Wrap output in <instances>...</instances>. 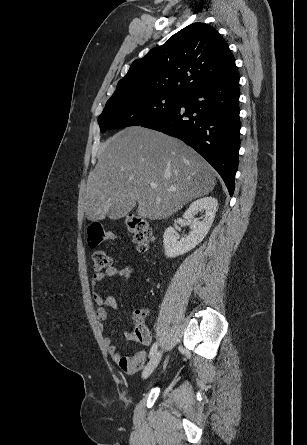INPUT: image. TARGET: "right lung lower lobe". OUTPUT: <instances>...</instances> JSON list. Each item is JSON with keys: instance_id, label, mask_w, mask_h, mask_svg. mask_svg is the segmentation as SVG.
Returning a JSON list of instances; mask_svg holds the SVG:
<instances>
[{"instance_id": "98d812e1", "label": "right lung lower lobe", "mask_w": 307, "mask_h": 445, "mask_svg": "<svg viewBox=\"0 0 307 445\" xmlns=\"http://www.w3.org/2000/svg\"><path fill=\"white\" fill-rule=\"evenodd\" d=\"M239 74L232 67L189 91L181 103L141 126L177 137L202 155L220 174L230 196L240 147Z\"/></svg>"}]
</instances>
